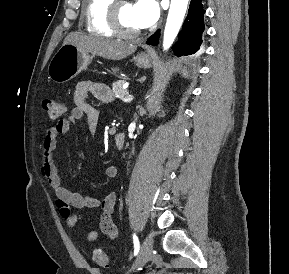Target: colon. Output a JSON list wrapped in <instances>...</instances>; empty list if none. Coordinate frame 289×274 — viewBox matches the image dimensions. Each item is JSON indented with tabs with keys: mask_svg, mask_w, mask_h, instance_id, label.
I'll return each mask as SVG.
<instances>
[{
	"mask_svg": "<svg viewBox=\"0 0 289 274\" xmlns=\"http://www.w3.org/2000/svg\"><path fill=\"white\" fill-rule=\"evenodd\" d=\"M43 109L47 112L51 119H58L65 113L66 107L62 101L45 99L42 102ZM92 259L99 267H107L108 258L107 255L100 249L93 251Z\"/></svg>",
	"mask_w": 289,
	"mask_h": 274,
	"instance_id": "colon-1",
	"label": "colon"
}]
</instances>
